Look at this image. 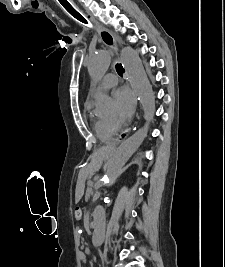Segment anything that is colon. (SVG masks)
<instances>
[{
  "label": "colon",
  "mask_w": 225,
  "mask_h": 267,
  "mask_svg": "<svg viewBox=\"0 0 225 267\" xmlns=\"http://www.w3.org/2000/svg\"><path fill=\"white\" fill-rule=\"evenodd\" d=\"M58 2L60 3V6L69 15H71V14L76 15L78 13L77 10L75 9V7L72 4H70V3H64L63 0H58ZM74 216H75L76 220H80L82 218V210H81V208H79V207L75 208V210H74Z\"/></svg>",
  "instance_id": "5ec220e1"
}]
</instances>
